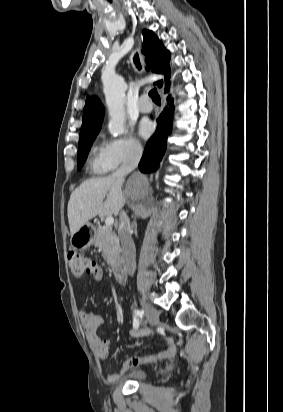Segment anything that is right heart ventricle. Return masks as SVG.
<instances>
[{
    "label": "right heart ventricle",
    "instance_id": "obj_1",
    "mask_svg": "<svg viewBox=\"0 0 283 412\" xmlns=\"http://www.w3.org/2000/svg\"><path fill=\"white\" fill-rule=\"evenodd\" d=\"M89 165L91 170L97 174L105 173L110 170L103 158V147L96 146L91 150Z\"/></svg>",
    "mask_w": 283,
    "mask_h": 412
}]
</instances>
